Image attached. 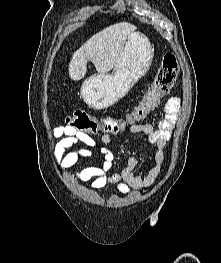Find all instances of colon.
Instances as JSON below:
<instances>
[{
    "label": "colon",
    "mask_w": 221,
    "mask_h": 263,
    "mask_svg": "<svg viewBox=\"0 0 221 263\" xmlns=\"http://www.w3.org/2000/svg\"><path fill=\"white\" fill-rule=\"evenodd\" d=\"M179 72L178 60L175 54L166 53L155 75L153 83L142 100L136 105L124 120L111 118L99 120L84 110L77 109L66 118V127L86 135H95L99 132L116 134L127 125L145 118L154 110L160 101L173 88Z\"/></svg>",
    "instance_id": "obj_1"
}]
</instances>
